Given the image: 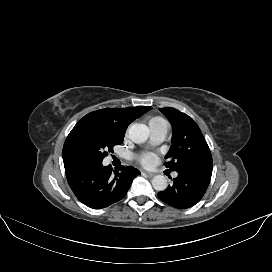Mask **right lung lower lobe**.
Listing matches in <instances>:
<instances>
[{
	"instance_id": "98d812e1",
	"label": "right lung lower lobe",
	"mask_w": 272,
	"mask_h": 272,
	"mask_svg": "<svg viewBox=\"0 0 272 272\" xmlns=\"http://www.w3.org/2000/svg\"><path fill=\"white\" fill-rule=\"evenodd\" d=\"M65 174L76 197L86 206L101 209L121 200L140 171L132 166H121L111 172L103 164L69 163Z\"/></svg>"
}]
</instances>
